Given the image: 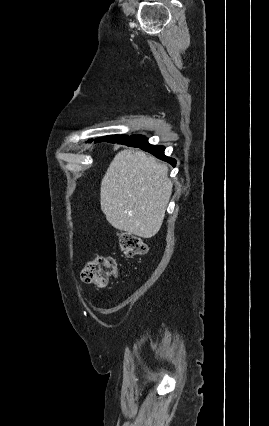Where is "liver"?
I'll return each instance as SVG.
<instances>
[{
    "instance_id": "liver-1",
    "label": "liver",
    "mask_w": 269,
    "mask_h": 426,
    "mask_svg": "<svg viewBox=\"0 0 269 426\" xmlns=\"http://www.w3.org/2000/svg\"><path fill=\"white\" fill-rule=\"evenodd\" d=\"M172 188L167 165L126 148L115 155L101 181V210L114 228L151 238L162 226Z\"/></svg>"
}]
</instances>
